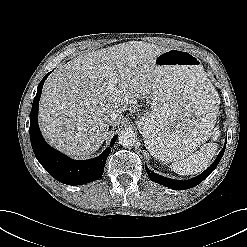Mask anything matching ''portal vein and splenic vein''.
Returning a JSON list of instances; mask_svg holds the SVG:
<instances>
[{"mask_svg": "<svg viewBox=\"0 0 247 247\" xmlns=\"http://www.w3.org/2000/svg\"><path fill=\"white\" fill-rule=\"evenodd\" d=\"M115 83H116V80H115V79H112V80L109 82V84H108V86H107V90H108L109 92H112V91H114V90L116 89Z\"/></svg>", "mask_w": 247, "mask_h": 247, "instance_id": "portal-vein-and-splenic-vein-1", "label": "portal vein and splenic vein"}]
</instances>
